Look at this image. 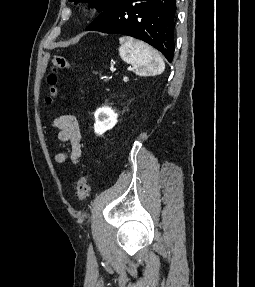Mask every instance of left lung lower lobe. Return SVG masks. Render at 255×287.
<instances>
[{
    "label": "left lung lower lobe",
    "instance_id": "0a47b994",
    "mask_svg": "<svg viewBox=\"0 0 255 287\" xmlns=\"http://www.w3.org/2000/svg\"><path fill=\"white\" fill-rule=\"evenodd\" d=\"M176 0H113L85 31L132 36L174 56Z\"/></svg>",
    "mask_w": 255,
    "mask_h": 287
}]
</instances>
